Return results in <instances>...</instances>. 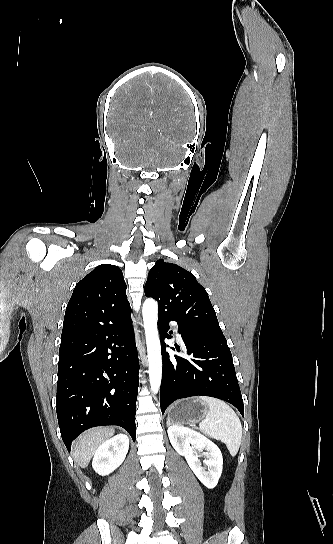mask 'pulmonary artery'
<instances>
[{
  "mask_svg": "<svg viewBox=\"0 0 333 544\" xmlns=\"http://www.w3.org/2000/svg\"><path fill=\"white\" fill-rule=\"evenodd\" d=\"M172 324H173L174 326H176V323H175V322H172ZM176 330H177V329H176ZM177 336H178L179 340H181V336H180L179 333L177 334Z\"/></svg>",
  "mask_w": 333,
  "mask_h": 544,
  "instance_id": "e3ab8cb5",
  "label": "pulmonary artery"
}]
</instances>
